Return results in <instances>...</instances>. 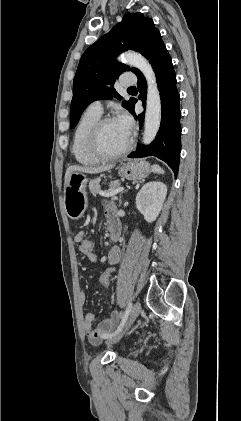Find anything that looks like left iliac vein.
<instances>
[{"mask_svg": "<svg viewBox=\"0 0 241 421\" xmlns=\"http://www.w3.org/2000/svg\"><path fill=\"white\" fill-rule=\"evenodd\" d=\"M140 311H141L140 302H135L133 307H132L130 317L125 324L124 331L122 333L110 338L109 340H107V344L111 345V344L116 343L122 337V335L130 328V326L134 323L136 318L139 316Z\"/></svg>", "mask_w": 241, "mask_h": 421, "instance_id": "obj_1", "label": "left iliac vein"}]
</instances>
